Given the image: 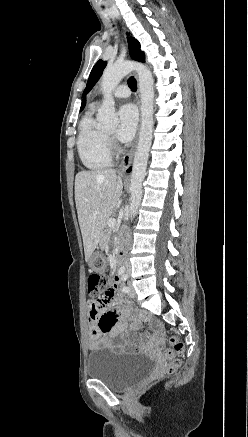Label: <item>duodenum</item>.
I'll return each instance as SVG.
<instances>
[{
	"instance_id": "obj_1",
	"label": "duodenum",
	"mask_w": 248,
	"mask_h": 437,
	"mask_svg": "<svg viewBox=\"0 0 248 437\" xmlns=\"http://www.w3.org/2000/svg\"><path fill=\"white\" fill-rule=\"evenodd\" d=\"M125 255V246L124 245H119L117 247V258L119 261H121L123 259Z\"/></svg>"
}]
</instances>
